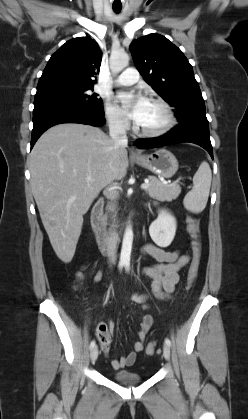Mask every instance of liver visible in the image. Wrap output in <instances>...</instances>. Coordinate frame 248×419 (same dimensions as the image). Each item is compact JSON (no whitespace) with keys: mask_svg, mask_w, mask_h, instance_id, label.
Instances as JSON below:
<instances>
[{"mask_svg":"<svg viewBox=\"0 0 248 419\" xmlns=\"http://www.w3.org/2000/svg\"><path fill=\"white\" fill-rule=\"evenodd\" d=\"M128 164L126 148H116L90 125L59 124L36 142L30 154L31 190L60 260H72L83 215L105 186L126 176Z\"/></svg>","mask_w":248,"mask_h":419,"instance_id":"6515ba94","label":"liver"}]
</instances>
